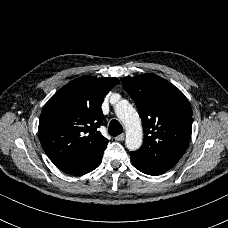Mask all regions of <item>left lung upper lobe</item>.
Masks as SVG:
<instances>
[{
	"mask_svg": "<svg viewBox=\"0 0 228 228\" xmlns=\"http://www.w3.org/2000/svg\"><path fill=\"white\" fill-rule=\"evenodd\" d=\"M121 81L138 108L144 129L142 147L130 152V156L150 166L171 169L191 138L189 101L177 87L154 74Z\"/></svg>",
	"mask_w": 228,
	"mask_h": 228,
	"instance_id": "obj_1",
	"label": "left lung upper lobe"
}]
</instances>
